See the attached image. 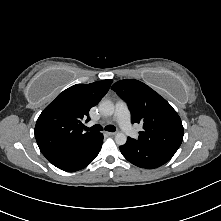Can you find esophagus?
I'll use <instances>...</instances> for the list:
<instances>
[{"label": "esophagus", "mask_w": 221, "mask_h": 221, "mask_svg": "<svg viewBox=\"0 0 221 221\" xmlns=\"http://www.w3.org/2000/svg\"><path fill=\"white\" fill-rule=\"evenodd\" d=\"M105 134L108 135V136H114L115 132H106Z\"/></svg>", "instance_id": "34e87169"}]
</instances>
